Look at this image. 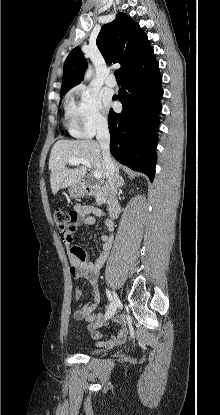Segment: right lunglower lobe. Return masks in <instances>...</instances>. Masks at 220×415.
Returning <instances> with one entry per match:
<instances>
[{
  "instance_id": "right-lung-lower-lobe-1",
  "label": "right lung lower lobe",
  "mask_w": 220,
  "mask_h": 415,
  "mask_svg": "<svg viewBox=\"0 0 220 415\" xmlns=\"http://www.w3.org/2000/svg\"><path fill=\"white\" fill-rule=\"evenodd\" d=\"M163 97L162 76L156 59L123 75V86L113 100L121 113L109 112L110 152L123 165L154 178L159 113Z\"/></svg>"
}]
</instances>
